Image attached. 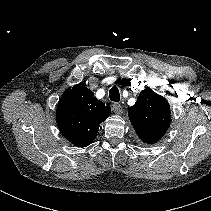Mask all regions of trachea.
Listing matches in <instances>:
<instances>
[{"label":"trachea","instance_id":"3493384b","mask_svg":"<svg viewBox=\"0 0 211 211\" xmlns=\"http://www.w3.org/2000/svg\"><path fill=\"white\" fill-rule=\"evenodd\" d=\"M109 97L111 101L119 102L120 101V92L117 87L113 86L109 91Z\"/></svg>","mask_w":211,"mask_h":211}]
</instances>
